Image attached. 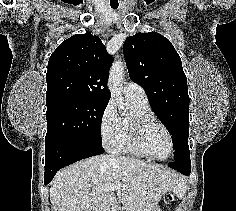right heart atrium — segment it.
<instances>
[{
  "mask_svg": "<svg viewBox=\"0 0 236 211\" xmlns=\"http://www.w3.org/2000/svg\"><path fill=\"white\" fill-rule=\"evenodd\" d=\"M120 132V117L111 101L104 107L99 119V133L104 147L112 148Z\"/></svg>",
  "mask_w": 236,
  "mask_h": 211,
  "instance_id": "obj_1",
  "label": "right heart atrium"
}]
</instances>
